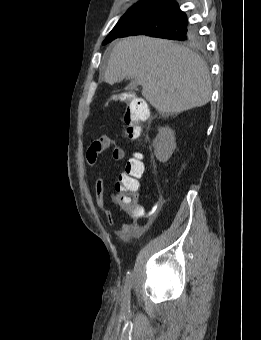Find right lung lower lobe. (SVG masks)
<instances>
[{
	"instance_id": "1",
	"label": "right lung lower lobe",
	"mask_w": 261,
	"mask_h": 340,
	"mask_svg": "<svg viewBox=\"0 0 261 340\" xmlns=\"http://www.w3.org/2000/svg\"><path fill=\"white\" fill-rule=\"evenodd\" d=\"M190 27L186 14L179 9L177 3L162 0L157 7L140 18L119 37L143 34L171 39L174 34L181 33Z\"/></svg>"
}]
</instances>
